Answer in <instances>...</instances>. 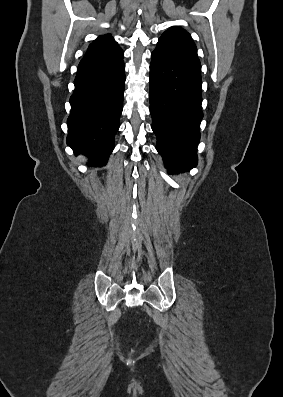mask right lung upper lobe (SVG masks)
Returning <instances> with one entry per match:
<instances>
[{
	"instance_id": "1",
	"label": "right lung upper lobe",
	"mask_w": 283,
	"mask_h": 397,
	"mask_svg": "<svg viewBox=\"0 0 283 397\" xmlns=\"http://www.w3.org/2000/svg\"><path fill=\"white\" fill-rule=\"evenodd\" d=\"M121 57H123L122 49L110 34H106L99 36L89 45L84 58L79 63L78 69L110 63Z\"/></svg>"
}]
</instances>
